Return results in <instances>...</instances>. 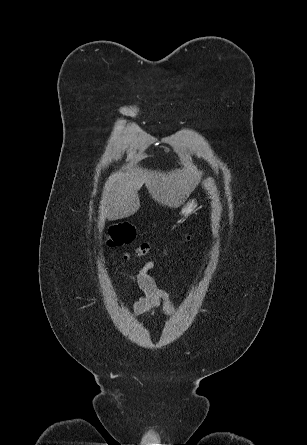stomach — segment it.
<instances>
[{
    "label": "stomach",
    "instance_id": "1",
    "mask_svg": "<svg viewBox=\"0 0 307 445\" xmlns=\"http://www.w3.org/2000/svg\"><path fill=\"white\" fill-rule=\"evenodd\" d=\"M197 208V202L195 198H190L188 202H185L184 206H182L179 214H182V216H189V214H192L194 210Z\"/></svg>",
    "mask_w": 307,
    "mask_h": 445
}]
</instances>
